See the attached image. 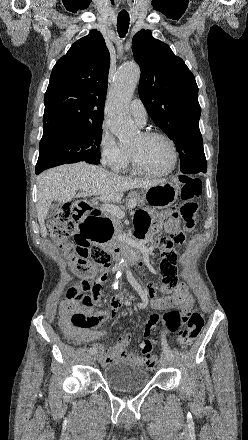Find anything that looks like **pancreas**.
<instances>
[{"instance_id": "cf45deb5", "label": "pancreas", "mask_w": 248, "mask_h": 440, "mask_svg": "<svg viewBox=\"0 0 248 440\" xmlns=\"http://www.w3.org/2000/svg\"><path fill=\"white\" fill-rule=\"evenodd\" d=\"M131 199H134L136 201V204L137 203L138 204L144 203V199L142 197H140L138 194L129 195L128 203ZM106 215H108L110 217L111 221L114 223L117 234H120L122 232L121 225H120V218L112 216L107 212H106Z\"/></svg>"}]
</instances>
